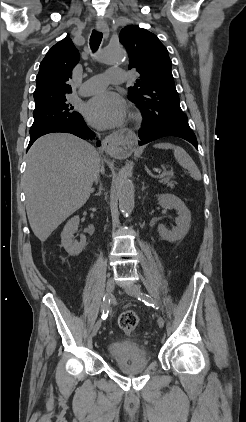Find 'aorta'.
<instances>
[{
    "label": "aorta",
    "mask_w": 246,
    "mask_h": 422,
    "mask_svg": "<svg viewBox=\"0 0 246 422\" xmlns=\"http://www.w3.org/2000/svg\"><path fill=\"white\" fill-rule=\"evenodd\" d=\"M124 49L108 45L104 47L99 55V60L106 64L121 63L125 60ZM117 193L119 198V208L121 212L128 215L134 208V187L127 172L122 170L118 176Z\"/></svg>",
    "instance_id": "1"
}]
</instances>
